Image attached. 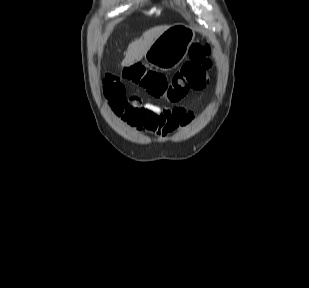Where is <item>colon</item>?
Wrapping results in <instances>:
<instances>
[{"instance_id":"1","label":"colon","mask_w":309,"mask_h":288,"mask_svg":"<svg viewBox=\"0 0 309 288\" xmlns=\"http://www.w3.org/2000/svg\"><path fill=\"white\" fill-rule=\"evenodd\" d=\"M211 46L195 43L190 47L189 60L177 70L171 80L160 72L145 69L140 63L126 66L121 73H109L104 78V95L120 115L131 112L125 95V83L144 87L155 97L176 102L190 91H199L210 83L208 71L212 68Z\"/></svg>"}]
</instances>
